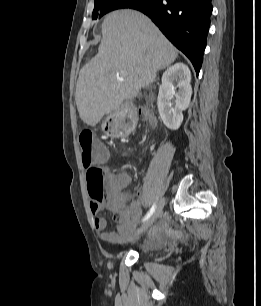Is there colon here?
<instances>
[{
	"label": "colon",
	"mask_w": 261,
	"mask_h": 306,
	"mask_svg": "<svg viewBox=\"0 0 261 306\" xmlns=\"http://www.w3.org/2000/svg\"><path fill=\"white\" fill-rule=\"evenodd\" d=\"M144 115L142 108H132L128 110L127 116L118 118L121 126L124 127L129 119L139 118ZM94 134L92 131H82L79 135V145L81 150V160L87 170V182L90 195L97 199L101 197L107 188V177L104 170L95 165V160L106 159L108 153L106 148H96L93 142Z\"/></svg>",
	"instance_id": "5ec220e1"
}]
</instances>
